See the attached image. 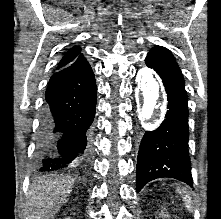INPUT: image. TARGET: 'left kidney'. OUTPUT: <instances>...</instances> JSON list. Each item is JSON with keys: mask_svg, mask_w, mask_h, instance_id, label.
<instances>
[{"mask_svg": "<svg viewBox=\"0 0 221 219\" xmlns=\"http://www.w3.org/2000/svg\"><path fill=\"white\" fill-rule=\"evenodd\" d=\"M161 216H162V219H169V218H168V215H166V214H164V213H162Z\"/></svg>", "mask_w": 221, "mask_h": 219, "instance_id": "1", "label": "left kidney"}]
</instances>
